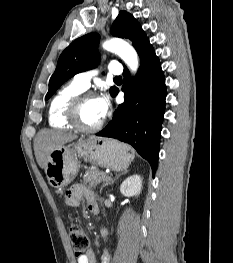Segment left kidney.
<instances>
[{"label":"left kidney","instance_id":"5707ae66","mask_svg":"<svg viewBox=\"0 0 233 263\" xmlns=\"http://www.w3.org/2000/svg\"><path fill=\"white\" fill-rule=\"evenodd\" d=\"M142 188V179L139 175H133L126 178L121 186L120 192L126 197L138 196Z\"/></svg>","mask_w":233,"mask_h":263}]
</instances>
